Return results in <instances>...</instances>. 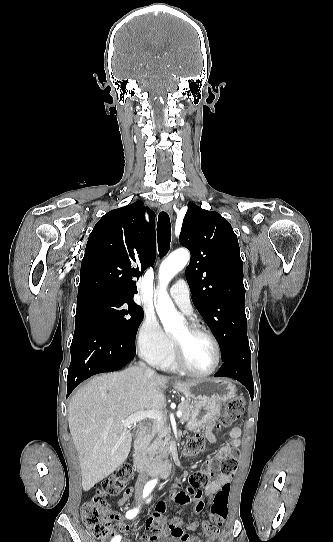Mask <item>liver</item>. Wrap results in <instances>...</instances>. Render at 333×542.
I'll use <instances>...</instances> for the list:
<instances>
[{
  "mask_svg": "<svg viewBox=\"0 0 333 542\" xmlns=\"http://www.w3.org/2000/svg\"><path fill=\"white\" fill-rule=\"evenodd\" d=\"M168 380L167 376H147L145 368L130 366L123 372L95 376L74 394L68 406V424L84 492L125 462L133 434L122 420L139 410H163Z\"/></svg>",
  "mask_w": 333,
  "mask_h": 542,
  "instance_id": "6515ba94",
  "label": "liver"
}]
</instances>
